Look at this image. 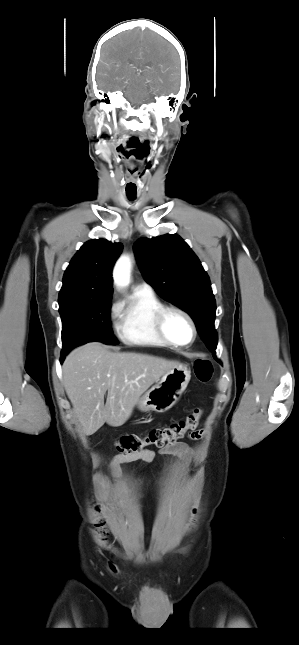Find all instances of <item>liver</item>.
<instances>
[{
  "label": "liver",
  "mask_w": 299,
  "mask_h": 645,
  "mask_svg": "<svg viewBox=\"0 0 299 645\" xmlns=\"http://www.w3.org/2000/svg\"><path fill=\"white\" fill-rule=\"evenodd\" d=\"M178 365L147 354L111 352L99 342L75 348L63 363V383L83 433L92 435L104 423L123 425L141 395Z\"/></svg>",
  "instance_id": "6515ba94"
}]
</instances>
